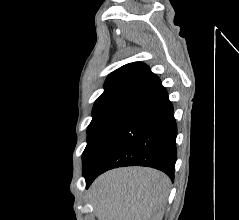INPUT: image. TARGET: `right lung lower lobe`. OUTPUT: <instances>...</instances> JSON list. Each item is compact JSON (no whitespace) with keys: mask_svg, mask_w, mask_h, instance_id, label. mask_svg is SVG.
I'll return each instance as SVG.
<instances>
[{"mask_svg":"<svg viewBox=\"0 0 239 220\" xmlns=\"http://www.w3.org/2000/svg\"><path fill=\"white\" fill-rule=\"evenodd\" d=\"M177 126L168 94L162 84L134 103L107 144L86 186L101 173L122 166H148L174 179Z\"/></svg>","mask_w":239,"mask_h":220,"instance_id":"obj_1","label":"right lung lower lobe"}]
</instances>
